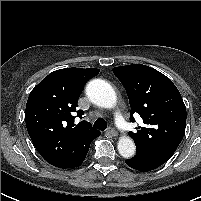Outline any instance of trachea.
I'll list each match as a JSON object with an SVG mask.
<instances>
[{
    "label": "trachea",
    "instance_id": "obj_1",
    "mask_svg": "<svg viewBox=\"0 0 201 201\" xmlns=\"http://www.w3.org/2000/svg\"><path fill=\"white\" fill-rule=\"evenodd\" d=\"M94 128H97L99 130H105L107 128V123L104 119L102 118H98L95 122H94Z\"/></svg>",
    "mask_w": 201,
    "mask_h": 201
}]
</instances>
